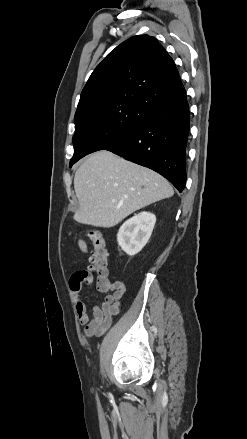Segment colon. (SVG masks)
Wrapping results in <instances>:
<instances>
[{"mask_svg": "<svg viewBox=\"0 0 247 439\" xmlns=\"http://www.w3.org/2000/svg\"><path fill=\"white\" fill-rule=\"evenodd\" d=\"M88 239L91 247L89 271L97 277L98 289L103 291L107 288L108 276V251L105 240L102 234L96 230L89 232ZM78 245L83 252H87L88 245L84 240H80Z\"/></svg>", "mask_w": 247, "mask_h": 439, "instance_id": "5ec220e1", "label": "colon"}]
</instances>
